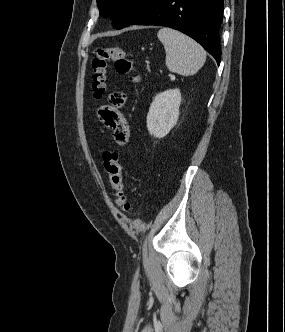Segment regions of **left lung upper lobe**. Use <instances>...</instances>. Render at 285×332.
Listing matches in <instances>:
<instances>
[{"label": "left lung upper lobe", "mask_w": 285, "mask_h": 332, "mask_svg": "<svg viewBox=\"0 0 285 332\" xmlns=\"http://www.w3.org/2000/svg\"><path fill=\"white\" fill-rule=\"evenodd\" d=\"M156 0H97L100 15L114 17L116 29L131 25L139 19Z\"/></svg>", "instance_id": "obj_1"}]
</instances>
